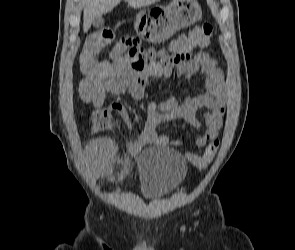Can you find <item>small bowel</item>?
<instances>
[{"label": "small bowel", "instance_id": "c3829d8e", "mask_svg": "<svg viewBox=\"0 0 295 250\" xmlns=\"http://www.w3.org/2000/svg\"><path fill=\"white\" fill-rule=\"evenodd\" d=\"M175 40L164 49H144L133 36L123 37L113 48L110 62L99 63L98 69L85 73L79 83L80 98L100 109L106 95H120L128 92L135 100L144 97L150 78L169 77L176 69L179 77L188 79L201 71L206 75L205 90L187 96L179 101L175 96L156 101L151 100L147 107L148 119L143 128H138L126 108L113 103L109 108L119 113L133 132L135 140L127 146L130 155H137L144 146H182L179 140L159 135V124L173 120H184L204 132L196 137L194 144L202 148L216 140L223 126L227 96L224 91V78L217 62L204 51H194L195 46H183ZM207 109L204 125L196 117L197 111ZM115 146L110 139L100 138L91 141L85 150L88 165L94 175L107 176L111 173ZM191 153H186L189 157Z\"/></svg>", "mask_w": 295, "mask_h": 250}]
</instances>
